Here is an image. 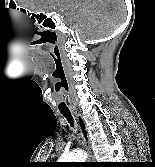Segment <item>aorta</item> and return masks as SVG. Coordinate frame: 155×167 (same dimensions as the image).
Returning a JSON list of instances; mask_svg holds the SVG:
<instances>
[{
    "label": "aorta",
    "mask_w": 155,
    "mask_h": 167,
    "mask_svg": "<svg viewBox=\"0 0 155 167\" xmlns=\"http://www.w3.org/2000/svg\"><path fill=\"white\" fill-rule=\"evenodd\" d=\"M87 154L81 150H76L68 154L62 155L59 160L61 162H84Z\"/></svg>",
    "instance_id": "762f6f07"
}]
</instances>
